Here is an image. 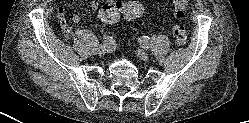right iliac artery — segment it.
I'll list each match as a JSON object with an SVG mask.
<instances>
[{
	"mask_svg": "<svg viewBox=\"0 0 249 123\" xmlns=\"http://www.w3.org/2000/svg\"><path fill=\"white\" fill-rule=\"evenodd\" d=\"M103 43L105 44V45H109V44H111L112 43V38L110 37V36H104L103 37Z\"/></svg>",
	"mask_w": 249,
	"mask_h": 123,
	"instance_id": "obj_1",
	"label": "right iliac artery"
}]
</instances>
